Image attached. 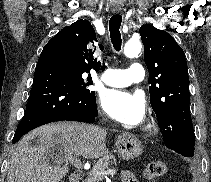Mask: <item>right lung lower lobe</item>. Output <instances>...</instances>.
Returning <instances> with one entry per match:
<instances>
[{
    "label": "right lung lower lobe",
    "instance_id": "obj_1",
    "mask_svg": "<svg viewBox=\"0 0 211 182\" xmlns=\"http://www.w3.org/2000/svg\"><path fill=\"white\" fill-rule=\"evenodd\" d=\"M97 115L95 95L83 93L68 62L54 46L46 44L37 62L26 111L13 143L44 124L63 120L91 123Z\"/></svg>",
    "mask_w": 211,
    "mask_h": 182
}]
</instances>
